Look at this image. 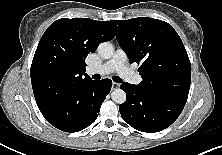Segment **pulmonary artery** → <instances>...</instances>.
Returning <instances> with one entry per match:
<instances>
[{
    "label": "pulmonary artery",
    "instance_id": "pulmonary-artery-1",
    "mask_svg": "<svg viewBox=\"0 0 222 155\" xmlns=\"http://www.w3.org/2000/svg\"><path fill=\"white\" fill-rule=\"evenodd\" d=\"M88 72L90 74L99 73L102 75L117 72L123 79L132 84H138L141 81L140 76L128 67L127 55L121 48L117 49L112 58L106 61L99 68H90Z\"/></svg>",
    "mask_w": 222,
    "mask_h": 155
}]
</instances>
